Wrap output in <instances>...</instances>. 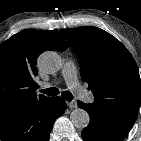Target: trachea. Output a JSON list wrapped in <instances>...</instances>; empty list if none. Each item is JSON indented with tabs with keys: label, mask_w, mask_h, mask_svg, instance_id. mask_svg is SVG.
<instances>
[{
	"label": "trachea",
	"mask_w": 141,
	"mask_h": 141,
	"mask_svg": "<svg viewBox=\"0 0 141 141\" xmlns=\"http://www.w3.org/2000/svg\"><path fill=\"white\" fill-rule=\"evenodd\" d=\"M40 92L46 94L47 96H56V95L59 94V90L57 88H55V87H51V88H48L46 90H41ZM62 97L66 101H72V99H73V95L69 91H63L62 92Z\"/></svg>",
	"instance_id": "1"
}]
</instances>
